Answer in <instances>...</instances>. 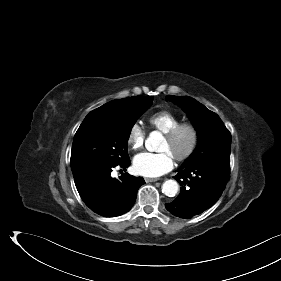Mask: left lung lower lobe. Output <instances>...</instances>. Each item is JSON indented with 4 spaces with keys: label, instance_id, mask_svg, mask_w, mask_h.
Masks as SVG:
<instances>
[{
    "label": "left lung lower lobe",
    "instance_id": "left-lung-lower-lobe-1",
    "mask_svg": "<svg viewBox=\"0 0 281 281\" xmlns=\"http://www.w3.org/2000/svg\"><path fill=\"white\" fill-rule=\"evenodd\" d=\"M174 178L181 184L178 197L166 208L180 218H192L210 208L221 196L230 175V161H205L181 166Z\"/></svg>",
    "mask_w": 281,
    "mask_h": 281
}]
</instances>
